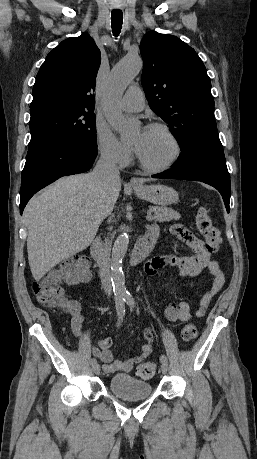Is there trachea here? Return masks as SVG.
Segmentation results:
<instances>
[{"label":"trachea","instance_id":"3493384b","mask_svg":"<svg viewBox=\"0 0 257 459\" xmlns=\"http://www.w3.org/2000/svg\"><path fill=\"white\" fill-rule=\"evenodd\" d=\"M123 23V14L121 11H112L111 13V27L115 37L119 36Z\"/></svg>","mask_w":257,"mask_h":459}]
</instances>
